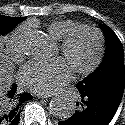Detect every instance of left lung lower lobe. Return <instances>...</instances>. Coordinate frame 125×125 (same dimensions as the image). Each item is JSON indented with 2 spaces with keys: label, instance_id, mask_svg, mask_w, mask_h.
<instances>
[{
  "label": "left lung lower lobe",
  "instance_id": "0a47b994",
  "mask_svg": "<svg viewBox=\"0 0 125 125\" xmlns=\"http://www.w3.org/2000/svg\"><path fill=\"white\" fill-rule=\"evenodd\" d=\"M125 83H115L92 90L76 85L80 99L75 113L59 125H108L121 102Z\"/></svg>",
  "mask_w": 125,
  "mask_h": 125
}]
</instances>
